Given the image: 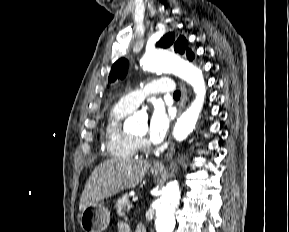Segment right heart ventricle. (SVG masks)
Here are the masks:
<instances>
[{"label":"right heart ventricle","mask_w":289,"mask_h":232,"mask_svg":"<svg viewBox=\"0 0 289 232\" xmlns=\"http://www.w3.org/2000/svg\"><path fill=\"white\" fill-rule=\"evenodd\" d=\"M132 112L120 101L108 111L105 125V145L108 153L118 158L136 157L141 147L134 135L123 130L122 121Z\"/></svg>","instance_id":"e07e8e85"}]
</instances>
